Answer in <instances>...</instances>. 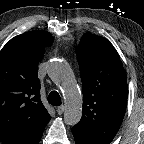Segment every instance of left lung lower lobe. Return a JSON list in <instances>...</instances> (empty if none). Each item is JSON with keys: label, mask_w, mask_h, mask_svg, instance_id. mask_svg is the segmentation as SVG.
I'll return each instance as SVG.
<instances>
[{"label": "left lung lower lobe", "mask_w": 144, "mask_h": 144, "mask_svg": "<svg viewBox=\"0 0 144 144\" xmlns=\"http://www.w3.org/2000/svg\"><path fill=\"white\" fill-rule=\"evenodd\" d=\"M73 135H74V139H75L76 144H99V143L84 139L82 136H80L76 133H73Z\"/></svg>", "instance_id": "obj_1"}]
</instances>
